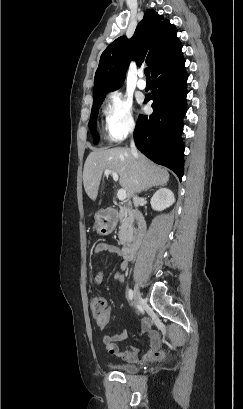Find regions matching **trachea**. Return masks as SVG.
Wrapping results in <instances>:
<instances>
[{
	"label": "trachea",
	"instance_id": "trachea-1",
	"mask_svg": "<svg viewBox=\"0 0 243 409\" xmlns=\"http://www.w3.org/2000/svg\"><path fill=\"white\" fill-rule=\"evenodd\" d=\"M144 73H145V76H146L147 80H150V69H149V68H145V69H144Z\"/></svg>",
	"mask_w": 243,
	"mask_h": 409
}]
</instances>
